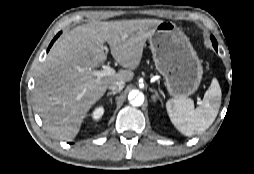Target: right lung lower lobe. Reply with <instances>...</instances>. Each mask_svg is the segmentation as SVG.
Segmentation results:
<instances>
[{
    "mask_svg": "<svg viewBox=\"0 0 254 174\" xmlns=\"http://www.w3.org/2000/svg\"><path fill=\"white\" fill-rule=\"evenodd\" d=\"M60 35V33L57 34V36L52 40L51 44L49 45V48L47 51H49L50 47L53 45L54 41L58 38V36Z\"/></svg>",
    "mask_w": 254,
    "mask_h": 174,
    "instance_id": "1",
    "label": "right lung lower lobe"
}]
</instances>
